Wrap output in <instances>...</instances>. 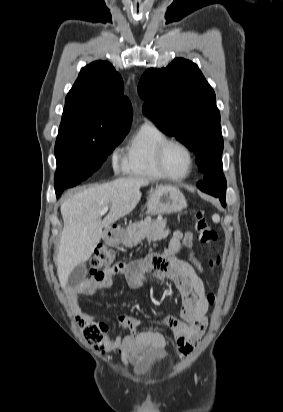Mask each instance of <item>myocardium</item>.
<instances>
[{
  "instance_id": "obj_1",
  "label": "myocardium",
  "mask_w": 283,
  "mask_h": 412,
  "mask_svg": "<svg viewBox=\"0 0 283 412\" xmlns=\"http://www.w3.org/2000/svg\"><path fill=\"white\" fill-rule=\"evenodd\" d=\"M173 145H177V146L183 148L186 151V153L188 155V158H189L188 170L182 175L171 174L166 169L165 164H164L165 154H166L168 148L173 146ZM156 165H157L158 170H159L162 177L172 179V180H182V179L187 178L193 171V168H194V165H195L194 153H193L192 149L185 142H183L181 140H178V139L169 138V139L165 140L164 142H162L161 145L159 146L158 150H157Z\"/></svg>"
}]
</instances>
